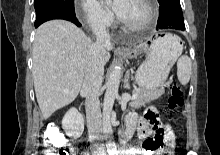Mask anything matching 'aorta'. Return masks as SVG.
<instances>
[{
	"mask_svg": "<svg viewBox=\"0 0 220 155\" xmlns=\"http://www.w3.org/2000/svg\"><path fill=\"white\" fill-rule=\"evenodd\" d=\"M121 79L120 70L114 69L106 82V92L103 102V131L104 133L111 134V112L113 109L115 98L118 95V89Z\"/></svg>",
	"mask_w": 220,
	"mask_h": 155,
	"instance_id": "1",
	"label": "aorta"
}]
</instances>
